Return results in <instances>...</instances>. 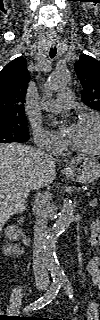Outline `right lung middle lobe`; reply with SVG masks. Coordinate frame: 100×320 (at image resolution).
Instances as JSON below:
<instances>
[{
    "label": "right lung middle lobe",
    "mask_w": 100,
    "mask_h": 320,
    "mask_svg": "<svg viewBox=\"0 0 100 320\" xmlns=\"http://www.w3.org/2000/svg\"><path fill=\"white\" fill-rule=\"evenodd\" d=\"M1 141L15 139L27 141L29 138L25 116L0 119Z\"/></svg>",
    "instance_id": "1"
}]
</instances>
